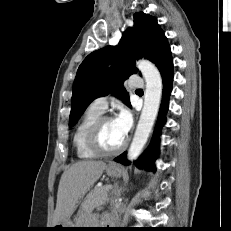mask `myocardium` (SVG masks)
Listing matches in <instances>:
<instances>
[{
    "label": "myocardium",
    "mask_w": 231,
    "mask_h": 231,
    "mask_svg": "<svg viewBox=\"0 0 231 231\" xmlns=\"http://www.w3.org/2000/svg\"><path fill=\"white\" fill-rule=\"evenodd\" d=\"M113 120L112 117L102 115L98 117L95 122L91 125L87 133V145L88 147L98 155L101 156H112L122 152L128 145V138H125L123 143L114 149H106L100 142V132L103 124L106 121Z\"/></svg>",
    "instance_id": "obj_1"
}]
</instances>
